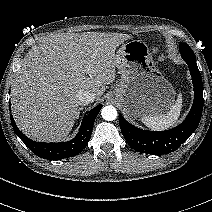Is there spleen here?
<instances>
[{
    "label": "spleen",
    "mask_w": 212,
    "mask_h": 212,
    "mask_svg": "<svg viewBox=\"0 0 212 212\" xmlns=\"http://www.w3.org/2000/svg\"><path fill=\"white\" fill-rule=\"evenodd\" d=\"M182 110V94L179 93L175 104L169 112L161 116H144L141 118L144 125L152 130H165L176 124Z\"/></svg>",
    "instance_id": "1"
}]
</instances>
